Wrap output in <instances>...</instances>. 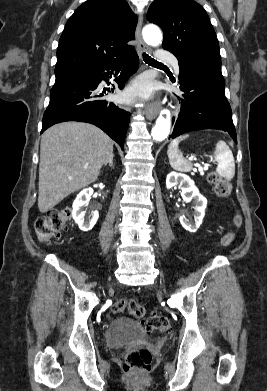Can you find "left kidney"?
<instances>
[{"label":"left kidney","mask_w":267,"mask_h":391,"mask_svg":"<svg viewBox=\"0 0 267 391\" xmlns=\"http://www.w3.org/2000/svg\"><path fill=\"white\" fill-rule=\"evenodd\" d=\"M179 185L182 190V197L184 201H191L194 199V222L188 220L184 216H180L179 220L183 228L189 232H196L199 226L202 223L203 217L205 215V209L207 206V200L203 197L197 187L194 184V181L187 175L171 172L167 175L166 178V187L171 189L174 186Z\"/></svg>","instance_id":"1"}]
</instances>
